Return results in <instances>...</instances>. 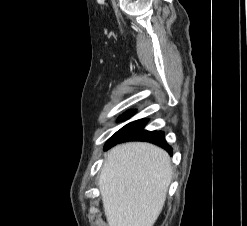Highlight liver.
I'll use <instances>...</instances> for the list:
<instances>
[{
  "label": "liver",
  "instance_id": "liver-1",
  "mask_svg": "<svg viewBox=\"0 0 247 226\" xmlns=\"http://www.w3.org/2000/svg\"><path fill=\"white\" fill-rule=\"evenodd\" d=\"M171 179L170 157L163 149L140 142L111 149L98 180L108 226H153Z\"/></svg>",
  "mask_w": 247,
  "mask_h": 226
}]
</instances>
